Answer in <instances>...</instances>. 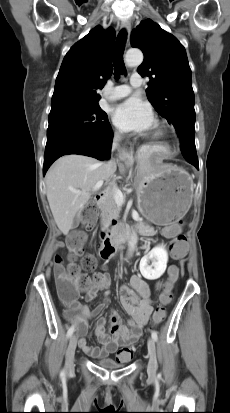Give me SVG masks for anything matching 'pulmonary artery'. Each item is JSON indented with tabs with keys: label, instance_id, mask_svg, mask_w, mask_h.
Returning a JSON list of instances; mask_svg holds the SVG:
<instances>
[{
	"label": "pulmonary artery",
	"instance_id": "obj_1",
	"mask_svg": "<svg viewBox=\"0 0 230 413\" xmlns=\"http://www.w3.org/2000/svg\"><path fill=\"white\" fill-rule=\"evenodd\" d=\"M142 83H143V79H142L141 75L140 74H133L130 77V85L116 86L115 88H113L110 91V98L112 100H118V99H121L123 97H126L131 93L132 88L138 87V86L142 85Z\"/></svg>",
	"mask_w": 230,
	"mask_h": 413
}]
</instances>
